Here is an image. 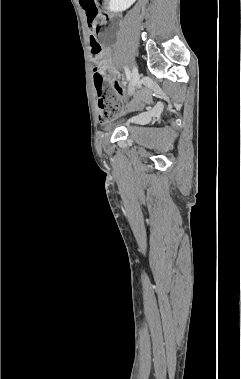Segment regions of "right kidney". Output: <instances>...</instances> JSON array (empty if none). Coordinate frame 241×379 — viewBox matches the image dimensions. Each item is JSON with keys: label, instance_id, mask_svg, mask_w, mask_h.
<instances>
[{"label": "right kidney", "instance_id": "obj_1", "mask_svg": "<svg viewBox=\"0 0 241 379\" xmlns=\"http://www.w3.org/2000/svg\"><path fill=\"white\" fill-rule=\"evenodd\" d=\"M136 0H110L109 9L111 12H122L128 9Z\"/></svg>", "mask_w": 241, "mask_h": 379}]
</instances>
